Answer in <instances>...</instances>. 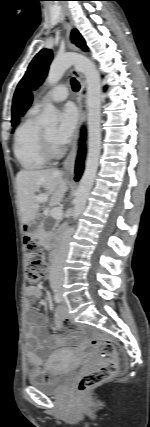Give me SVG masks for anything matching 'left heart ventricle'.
I'll use <instances>...</instances> for the list:
<instances>
[{
  "label": "left heart ventricle",
  "mask_w": 150,
  "mask_h": 427,
  "mask_svg": "<svg viewBox=\"0 0 150 427\" xmlns=\"http://www.w3.org/2000/svg\"><path fill=\"white\" fill-rule=\"evenodd\" d=\"M44 132L48 136V138L56 145V143L54 141V135L56 132V128L55 127L46 128V129H44Z\"/></svg>",
  "instance_id": "1"
}]
</instances>
